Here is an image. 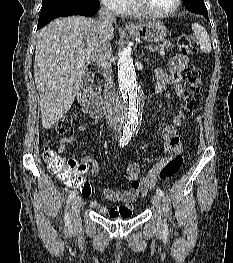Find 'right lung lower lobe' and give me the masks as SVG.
Wrapping results in <instances>:
<instances>
[{"label":"right lung lower lobe","instance_id":"right-lung-lower-lobe-1","mask_svg":"<svg viewBox=\"0 0 233 263\" xmlns=\"http://www.w3.org/2000/svg\"><path fill=\"white\" fill-rule=\"evenodd\" d=\"M100 4L91 3L89 1L81 2L78 8L71 15H84V16H93L99 9ZM69 16V15H67ZM50 22V21H49ZM38 23V28L40 29L45 26L47 23Z\"/></svg>","mask_w":233,"mask_h":263}]
</instances>
